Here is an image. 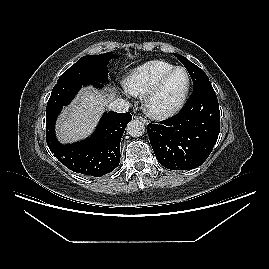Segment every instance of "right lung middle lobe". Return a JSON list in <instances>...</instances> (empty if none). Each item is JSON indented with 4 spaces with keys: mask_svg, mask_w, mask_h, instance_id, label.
Returning a JSON list of instances; mask_svg holds the SVG:
<instances>
[{
    "mask_svg": "<svg viewBox=\"0 0 269 269\" xmlns=\"http://www.w3.org/2000/svg\"><path fill=\"white\" fill-rule=\"evenodd\" d=\"M112 57H114L112 53L84 56L66 70L57 82L64 80H81L105 83L108 80L107 65Z\"/></svg>",
    "mask_w": 269,
    "mask_h": 269,
    "instance_id": "obj_1",
    "label": "right lung middle lobe"
}]
</instances>
